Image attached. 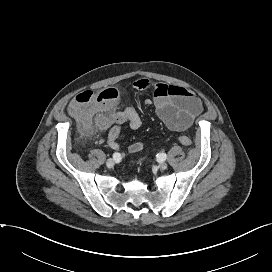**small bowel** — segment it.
Segmentation results:
<instances>
[{
	"label": "small bowel",
	"instance_id": "obj_1",
	"mask_svg": "<svg viewBox=\"0 0 272 272\" xmlns=\"http://www.w3.org/2000/svg\"><path fill=\"white\" fill-rule=\"evenodd\" d=\"M139 91H150L153 94V104L158 117L173 131L182 132L189 129L195 118L203 111L202 101L196 94L184 87L167 85L160 82L139 79L133 83ZM127 124L132 130L140 128L142 121L139 114L131 107L112 114L99 126L101 130H108V145L114 150L119 149L117 142L122 125ZM143 144L134 142L129 146V151H141Z\"/></svg>",
	"mask_w": 272,
	"mask_h": 272
}]
</instances>
